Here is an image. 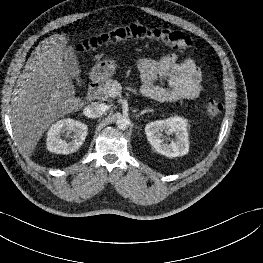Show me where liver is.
I'll return each instance as SVG.
<instances>
[{
    "label": "liver",
    "instance_id": "1",
    "mask_svg": "<svg viewBox=\"0 0 263 263\" xmlns=\"http://www.w3.org/2000/svg\"><path fill=\"white\" fill-rule=\"evenodd\" d=\"M68 39L55 34L42 41L27 60L13 91L11 119L19 149L34 152L43 133L57 119L78 111L84 103L64 64Z\"/></svg>",
    "mask_w": 263,
    "mask_h": 263
}]
</instances>
